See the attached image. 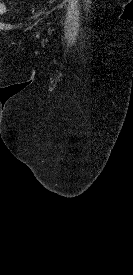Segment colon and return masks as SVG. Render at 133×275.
Returning a JSON list of instances; mask_svg holds the SVG:
<instances>
[{
	"label": "colon",
	"mask_w": 133,
	"mask_h": 275,
	"mask_svg": "<svg viewBox=\"0 0 133 275\" xmlns=\"http://www.w3.org/2000/svg\"><path fill=\"white\" fill-rule=\"evenodd\" d=\"M5 11H6L5 5L2 2H0V14H3Z\"/></svg>",
	"instance_id": "5ec220e1"
}]
</instances>
